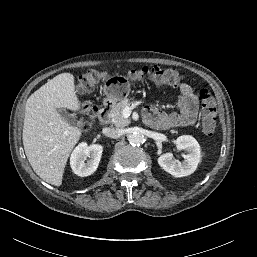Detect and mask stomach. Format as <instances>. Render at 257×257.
I'll return each mask as SVG.
<instances>
[{"mask_svg":"<svg viewBox=\"0 0 257 257\" xmlns=\"http://www.w3.org/2000/svg\"><path fill=\"white\" fill-rule=\"evenodd\" d=\"M130 88L128 82L109 81L104 86L105 104H115L117 101L125 99L129 94Z\"/></svg>","mask_w":257,"mask_h":257,"instance_id":"obj_1","label":"stomach"}]
</instances>
